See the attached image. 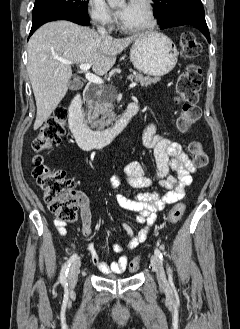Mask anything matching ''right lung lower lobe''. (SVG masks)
<instances>
[{"label":"right lung lower lobe","instance_id":"1","mask_svg":"<svg viewBox=\"0 0 240 329\" xmlns=\"http://www.w3.org/2000/svg\"><path fill=\"white\" fill-rule=\"evenodd\" d=\"M32 22V28L30 31V35L33 34V32L38 29L42 24L49 22V21H55V20H68L74 23H77L79 25L87 26L89 25V19L81 18L78 16L73 15H66V14H58V13H38L35 14L33 17Z\"/></svg>","mask_w":240,"mask_h":329}]
</instances>
